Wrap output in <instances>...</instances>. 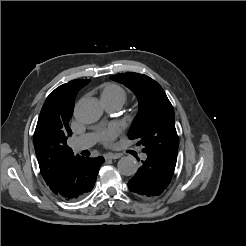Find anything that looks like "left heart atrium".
<instances>
[{
	"label": "left heart atrium",
	"instance_id": "obj_1",
	"mask_svg": "<svg viewBox=\"0 0 246 246\" xmlns=\"http://www.w3.org/2000/svg\"><path fill=\"white\" fill-rule=\"evenodd\" d=\"M119 134V129L116 126L108 127L100 132V140L106 144L110 145L116 136Z\"/></svg>",
	"mask_w": 246,
	"mask_h": 246
}]
</instances>
